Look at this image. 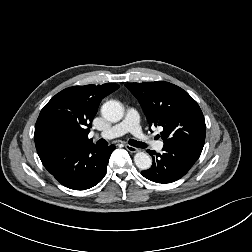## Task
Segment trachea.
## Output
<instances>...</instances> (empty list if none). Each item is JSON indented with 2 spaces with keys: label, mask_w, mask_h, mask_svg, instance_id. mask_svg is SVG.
Segmentation results:
<instances>
[{
  "label": "trachea",
  "mask_w": 252,
  "mask_h": 252,
  "mask_svg": "<svg viewBox=\"0 0 252 252\" xmlns=\"http://www.w3.org/2000/svg\"><path fill=\"white\" fill-rule=\"evenodd\" d=\"M128 143H129L130 145H132V146H134V147H138V148H145V147H146V145H145L144 143L139 142V141H136V140H133V139H130V140L128 141ZM97 144H98L99 146H107V145H108L107 141H105L104 139H100V140L97 142Z\"/></svg>",
  "instance_id": "3493384b"
}]
</instances>
